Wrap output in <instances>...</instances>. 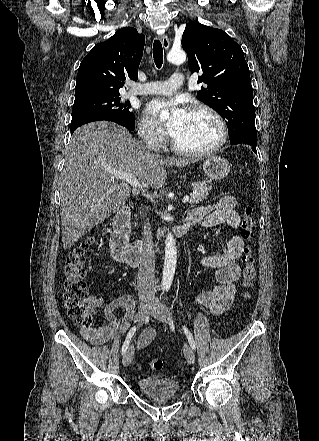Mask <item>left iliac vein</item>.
Masks as SVG:
<instances>
[{"label":"left iliac vein","mask_w":319,"mask_h":441,"mask_svg":"<svg viewBox=\"0 0 319 441\" xmlns=\"http://www.w3.org/2000/svg\"><path fill=\"white\" fill-rule=\"evenodd\" d=\"M149 312L154 318L162 322L170 323L173 321L170 310L166 306H164L158 299H153ZM184 355L189 364H193L195 362V354L192 348L187 344L184 345Z\"/></svg>","instance_id":"obj_1"}]
</instances>
